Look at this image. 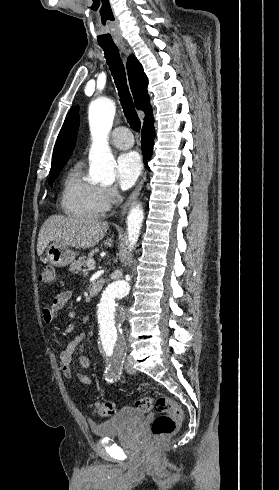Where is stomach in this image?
<instances>
[{
	"label": "stomach",
	"instance_id": "0dacf381",
	"mask_svg": "<svg viewBox=\"0 0 279 490\" xmlns=\"http://www.w3.org/2000/svg\"><path fill=\"white\" fill-rule=\"evenodd\" d=\"M76 252L73 250H68L64 246H59V244H51L48 250H46V260L52 266L56 268H63V266H68L71 262H75Z\"/></svg>",
	"mask_w": 279,
	"mask_h": 490
}]
</instances>
